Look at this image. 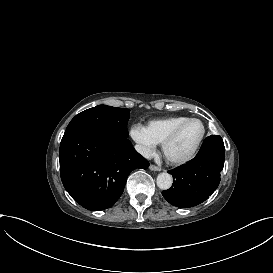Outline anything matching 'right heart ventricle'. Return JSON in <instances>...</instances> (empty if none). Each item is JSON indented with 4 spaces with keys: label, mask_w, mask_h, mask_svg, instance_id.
Returning a JSON list of instances; mask_svg holds the SVG:
<instances>
[{
    "label": "right heart ventricle",
    "mask_w": 273,
    "mask_h": 273,
    "mask_svg": "<svg viewBox=\"0 0 273 273\" xmlns=\"http://www.w3.org/2000/svg\"><path fill=\"white\" fill-rule=\"evenodd\" d=\"M189 116H174L168 118L155 119L148 123L146 131L150 138L157 144L161 143L166 135L181 121Z\"/></svg>",
    "instance_id": "1"
}]
</instances>
